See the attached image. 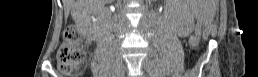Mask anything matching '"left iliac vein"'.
Returning <instances> with one entry per match:
<instances>
[{"instance_id": "left-iliac-vein-1", "label": "left iliac vein", "mask_w": 258, "mask_h": 77, "mask_svg": "<svg viewBox=\"0 0 258 77\" xmlns=\"http://www.w3.org/2000/svg\"><path fill=\"white\" fill-rule=\"evenodd\" d=\"M142 67L152 77H163L161 69L150 58H145L142 61Z\"/></svg>"}]
</instances>
